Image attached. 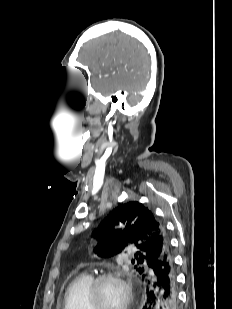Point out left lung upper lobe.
Here are the masks:
<instances>
[{
    "label": "left lung upper lobe",
    "instance_id": "5c2ea615",
    "mask_svg": "<svg viewBox=\"0 0 232 309\" xmlns=\"http://www.w3.org/2000/svg\"><path fill=\"white\" fill-rule=\"evenodd\" d=\"M122 222L123 229H114ZM102 236L95 252L108 258L121 253L130 246L135 251L132 263L136 271L144 277L153 259L158 258L169 240L165 227L152 211L143 204L132 201L115 208L94 231V237Z\"/></svg>",
    "mask_w": 232,
    "mask_h": 309
}]
</instances>
